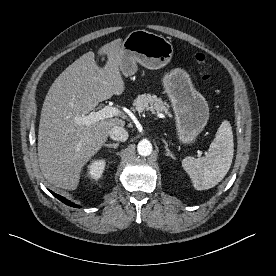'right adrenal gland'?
Here are the masks:
<instances>
[{
	"label": "right adrenal gland",
	"instance_id": "2a0ac1e0",
	"mask_svg": "<svg viewBox=\"0 0 276 276\" xmlns=\"http://www.w3.org/2000/svg\"><path fill=\"white\" fill-rule=\"evenodd\" d=\"M118 146H119V143L104 144V147L114 148V149H116Z\"/></svg>",
	"mask_w": 276,
	"mask_h": 276
}]
</instances>
